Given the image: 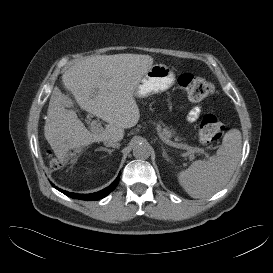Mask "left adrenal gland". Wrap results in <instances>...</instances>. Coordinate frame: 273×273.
<instances>
[{"mask_svg":"<svg viewBox=\"0 0 273 273\" xmlns=\"http://www.w3.org/2000/svg\"><path fill=\"white\" fill-rule=\"evenodd\" d=\"M161 149H162V151H163V157L167 160V161H169L170 159H169V157H168V155H167V152H166V149L163 147V145H161Z\"/></svg>","mask_w":273,"mask_h":273,"instance_id":"1","label":"left adrenal gland"}]
</instances>
